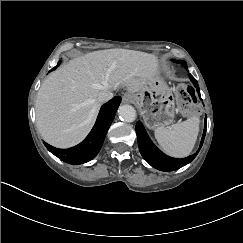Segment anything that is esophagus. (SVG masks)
Listing matches in <instances>:
<instances>
[{
	"label": "esophagus",
	"mask_w": 243,
	"mask_h": 243,
	"mask_svg": "<svg viewBox=\"0 0 243 243\" xmlns=\"http://www.w3.org/2000/svg\"><path fill=\"white\" fill-rule=\"evenodd\" d=\"M132 100V95L130 93H126L123 98H122V102L123 103H129Z\"/></svg>",
	"instance_id": "obj_1"
}]
</instances>
